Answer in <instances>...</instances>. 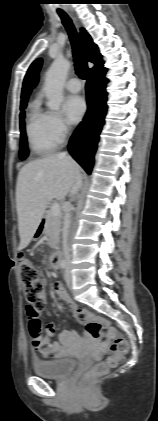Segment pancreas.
Listing matches in <instances>:
<instances>
[{
  "instance_id": "1",
  "label": "pancreas",
  "mask_w": 158,
  "mask_h": 421,
  "mask_svg": "<svg viewBox=\"0 0 158 421\" xmlns=\"http://www.w3.org/2000/svg\"><path fill=\"white\" fill-rule=\"evenodd\" d=\"M46 223L44 232L48 236V245L56 249L58 247L61 231L62 215L54 216L51 210H48L45 215Z\"/></svg>"
}]
</instances>
